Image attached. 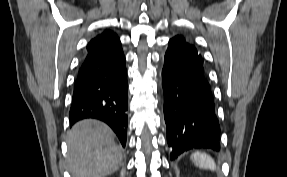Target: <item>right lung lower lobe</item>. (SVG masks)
<instances>
[{
    "label": "right lung lower lobe",
    "instance_id": "obj_1",
    "mask_svg": "<svg viewBox=\"0 0 287 177\" xmlns=\"http://www.w3.org/2000/svg\"><path fill=\"white\" fill-rule=\"evenodd\" d=\"M127 72L118 36L105 30L87 45L75 80L70 125L85 118L107 123L126 144L128 119Z\"/></svg>",
    "mask_w": 287,
    "mask_h": 177
}]
</instances>
